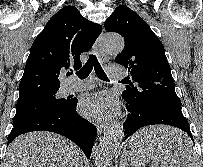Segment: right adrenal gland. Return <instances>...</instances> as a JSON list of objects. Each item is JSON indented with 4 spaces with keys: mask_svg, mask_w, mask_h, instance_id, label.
<instances>
[{
    "mask_svg": "<svg viewBox=\"0 0 203 167\" xmlns=\"http://www.w3.org/2000/svg\"><path fill=\"white\" fill-rule=\"evenodd\" d=\"M81 167H83V163H81Z\"/></svg>",
    "mask_w": 203,
    "mask_h": 167,
    "instance_id": "1",
    "label": "right adrenal gland"
}]
</instances>
